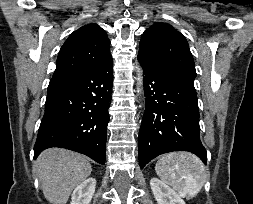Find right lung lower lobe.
<instances>
[{
  "mask_svg": "<svg viewBox=\"0 0 253 204\" xmlns=\"http://www.w3.org/2000/svg\"><path fill=\"white\" fill-rule=\"evenodd\" d=\"M112 68L110 58L49 83L45 113L34 146L35 159L46 148L61 147L105 164Z\"/></svg>",
  "mask_w": 253,
  "mask_h": 204,
  "instance_id": "right-lung-lower-lobe-1",
  "label": "right lung lower lobe"
}]
</instances>
